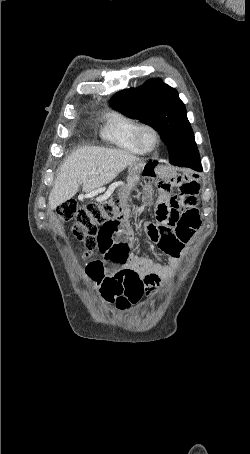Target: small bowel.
<instances>
[{"mask_svg": "<svg viewBox=\"0 0 250 454\" xmlns=\"http://www.w3.org/2000/svg\"><path fill=\"white\" fill-rule=\"evenodd\" d=\"M198 175L144 177L130 173L120 190L135 194L145 204L155 198V222L146 226L148 237L169 257V265L130 253L133 230L127 217L104 225L98 235L101 259L86 266L89 281L101 298L126 309L153 296L173 275L183 250L201 223ZM177 190L178 193H174Z\"/></svg>", "mask_w": 250, "mask_h": 454, "instance_id": "small-bowel-1", "label": "small bowel"}]
</instances>
